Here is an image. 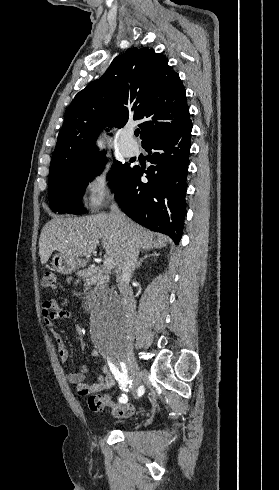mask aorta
I'll return each mask as SVG.
<instances>
[{
	"label": "aorta",
	"instance_id": "1",
	"mask_svg": "<svg viewBox=\"0 0 279 490\" xmlns=\"http://www.w3.org/2000/svg\"><path fill=\"white\" fill-rule=\"evenodd\" d=\"M90 333L94 343L105 353L128 341L130 332L124 308L116 294L103 291L93 298Z\"/></svg>",
	"mask_w": 279,
	"mask_h": 490
}]
</instances>
